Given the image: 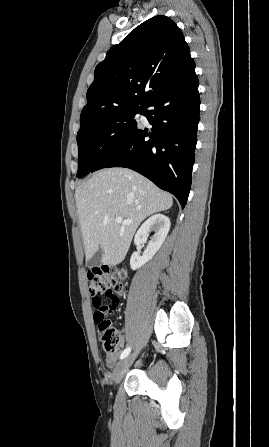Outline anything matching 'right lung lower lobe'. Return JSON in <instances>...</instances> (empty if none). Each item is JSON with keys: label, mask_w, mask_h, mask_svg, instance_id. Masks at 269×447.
<instances>
[{"label": "right lung lower lobe", "mask_w": 269, "mask_h": 447, "mask_svg": "<svg viewBox=\"0 0 269 447\" xmlns=\"http://www.w3.org/2000/svg\"><path fill=\"white\" fill-rule=\"evenodd\" d=\"M144 106L142 114L153 126L151 131L134 130L91 172L130 168L172 193L184 208L191 187L200 113L194 61L174 81L150 95Z\"/></svg>", "instance_id": "right-lung-lower-lobe-1"}]
</instances>
